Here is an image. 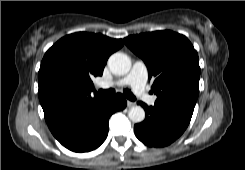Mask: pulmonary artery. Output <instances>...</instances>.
<instances>
[{
  "label": "pulmonary artery",
  "mask_w": 245,
  "mask_h": 170,
  "mask_svg": "<svg viewBox=\"0 0 245 170\" xmlns=\"http://www.w3.org/2000/svg\"><path fill=\"white\" fill-rule=\"evenodd\" d=\"M147 77H148L147 66L141 61H136L133 64L131 71L127 76L117 81L102 82L100 84V87L110 88V87H114L115 85L117 86L130 85L133 91L135 92V94H137L140 98L145 100L148 104L154 105L156 101V96L155 95L150 96L148 94V90L146 89L145 86Z\"/></svg>",
  "instance_id": "e3ab8cb5"
}]
</instances>
